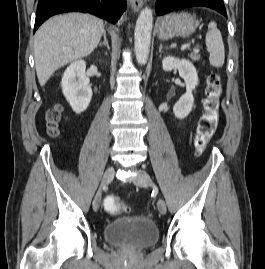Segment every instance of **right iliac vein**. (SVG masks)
I'll return each instance as SVG.
<instances>
[{
  "mask_svg": "<svg viewBox=\"0 0 265 269\" xmlns=\"http://www.w3.org/2000/svg\"><path fill=\"white\" fill-rule=\"evenodd\" d=\"M114 173L115 170L113 167H108L106 169V171L103 174L102 177V185H107L109 184L112 179L114 178ZM100 203H101V190H98V192L96 193L94 199H93V209L94 211H97L100 207Z\"/></svg>",
  "mask_w": 265,
  "mask_h": 269,
  "instance_id": "63e3f726",
  "label": "right iliac vein"
}]
</instances>
